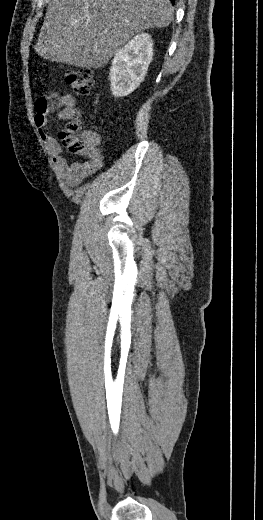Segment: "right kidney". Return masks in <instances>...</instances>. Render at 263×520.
I'll list each match as a JSON object with an SVG mask.
<instances>
[{
	"label": "right kidney",
	"instance_id": "obj_1",
	"mask_svg": "<svg viewBox=\"0 0 263 520\" xmlns=\"http://www.w3.org/2000/svg\"><path fill=\"white\" fill-rule=\"evenodd\" d=\"M153 56V43L147 33L131 39L116 52L109 73L111 91L115 97L131 94L144 80Z\"/></svg>",
	"mask_w": 263,
	"mask_h": 520
}]
</instances>
